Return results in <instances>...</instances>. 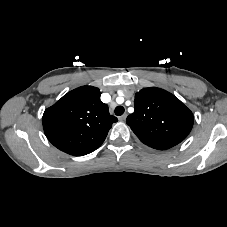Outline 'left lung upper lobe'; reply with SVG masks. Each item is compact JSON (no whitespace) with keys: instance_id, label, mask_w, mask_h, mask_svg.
<instances>
[{"instance_id":"1","label":"left lung upper lobe","mask_w":227,"mask_h":227,"mask_svg":"<svg viewBox=\"0 0 227 227\" xmlns=\"http://www.w3.org/2000/svg\"><path fill=\"white\" fill-rule=\"evenodd\" d=\"M134 105L135 111L126 123L142 143L153 149L166 150L179 144L192 129V112L163 89H141L135 95Z\"/></svg>"}]
</instances>
